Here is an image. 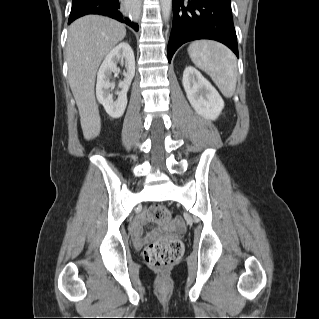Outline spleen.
Masks as SVG:
<instances>
[{"label": "spleen", "mask_w": 319, "mask_h": 319, "mask_svg": "<svg viewBox=\"0 0 319 319\" xmlns=\"http://www.w3.org/2000/svg\"><path fill=\"white\" fill-rule=\"evenodd\" d=\"M188 53L193 63L212 78L225 97L234 95L237 61L227 47L214 41H195L189 45Z\"/></svg>", "instance_id": "obj_1"}]
</instances>
